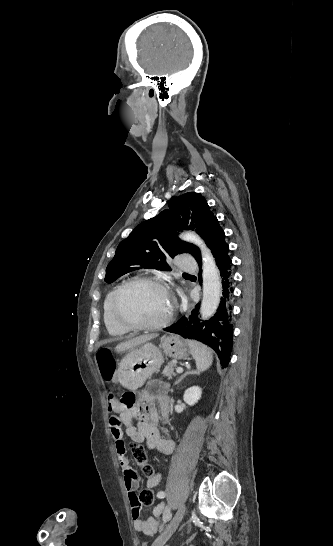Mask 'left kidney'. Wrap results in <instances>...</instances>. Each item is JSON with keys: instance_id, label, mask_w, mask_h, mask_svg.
Segmentation results:
<instances>
[{"instance_id": "left-kidney-1", "label": "left kidney", "mask_w": 333, "mask_h": 546, "mask_svg": "<svg viewBox=\"0 0 333 546\" xmlns=\"http://www.w3.org/2000/svg\"><path fill=\"white\" fill-rule=\"evenodd\" d=\"M201 394V388H199L198 386H193L185 391L183 399L186 404L192 406L198 402V400L201 398Z\"/></svg>"}]
</instances>
